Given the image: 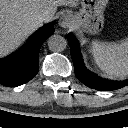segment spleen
I'll use <instances>...</instances> for the list:
<instances>
[{
    "mask_svg": "<svg viewBox=\"0 0 128 128\" xmlns=\"http://www.w3.org/2000/svg\"><path fill=\"white\" fill-rule=\"evenodd\" d=\"M91 52L97 66L109 76L128 75V38L120 43L93 41Z\"/></svg>",
    "mask_w": 128,
    "mask_h": 128,
    "instance_id": "3e777b00",
    "label": "spleen"
}]
</instances>
